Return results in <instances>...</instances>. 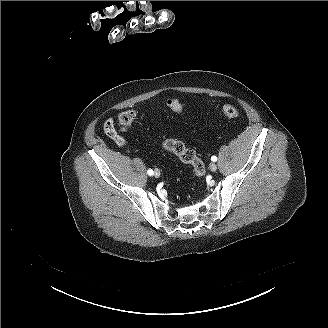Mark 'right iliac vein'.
Wrapping results in <instances>:
<instances>
[{
	"mask_svg": "<svg viewBox=\"0 0 328 328\" xmlns=\"http://www.w3.org/2000/svg\"><path fill=\"white\" fill-rule=\"evenodd\" d=\"M154 176H155L156 178H159V177H160V172H159L158 169L155 170Z\"/></svg>",
	"mask_w": 328,
	"mask_h": 328,
	"instance_id": "1",
	"label": "right iliac vein"
}]
</instances>
